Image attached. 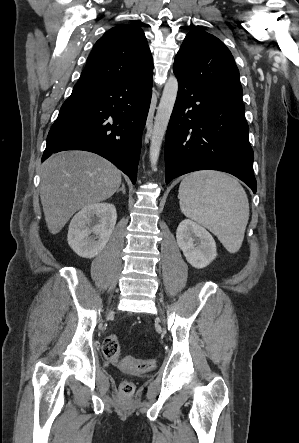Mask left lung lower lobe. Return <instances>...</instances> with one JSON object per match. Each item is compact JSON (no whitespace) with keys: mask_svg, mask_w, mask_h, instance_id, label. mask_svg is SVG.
I'll use <instances>...</instances> for the list:
<instances>
[{"mask_svg":"<svg viewBox=\"0 0 299 443\" xmlns=\"http://www.w3.org/2000/svg\"><path fill=\"white\" fill-rule=\"evenodd\" d=\"M179 88L165 139V178L219 170L256 193L253 150L243 103L177 76Z\"/></svg>","mask_w":299,"mask_h":443,"instance_id":"1","label":"left lung lower lobe"}]
</instances>
